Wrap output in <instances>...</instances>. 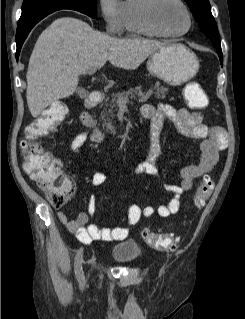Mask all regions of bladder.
Masks as SVG:
<instances>
[{
	"label": "bladder",
	"mask_w": 245,
	"mask_h": 319,
	"mask_svg": "<svg viewBox=\"0 0 245 319\" xmlns=\"http://www.w3.org/2000/svg\"><path fill=\"white\" fill-rule=\"evenodd\" d=\"M111 256L119 263H134L140 259L141 249L134 239L125 238L113 246Z\"/></svg>",
	"instance_id": "bladder-1"
}]
</instances>
